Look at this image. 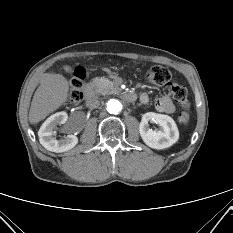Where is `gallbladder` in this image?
<instances>
[{
	"mask_svg": "<svg viewBox=\"0 0 233 233\" xmlns=\"http://www.w3.org/2000/svg\"><path fill=\"white\" fill-rule=\"evenodd\" d=\"M62 69L66 72V73H72L73 72V68L69 65H63Z\"/></svg>",
	"mask_w": 233,
	"mask_h": 233,
	"instance_id": "obj_1",
	"label": "gallbladder"
}]
</instances>
